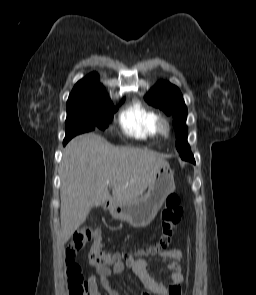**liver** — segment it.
I'll use <instances>...</instances> for the list:
<instances>
[{
  "mask_svg": "<svg viewBox=\"0 0 256 295\" xmlns=\"http://www.w3.org/2000/svg\"><path fill=\"white\" fill-rule=\"evenodd\" d=\"M165 164L156 152L113 146L94 133L73 138L60 165L62 244L86 221L93 206L108 200L126 204L139 198Z\"/></svg>",
  "mask_w": 256,
  "mask_h": 295,
  "instance_id": "liver-1",
  "label": "liver"
}]
</instances>
